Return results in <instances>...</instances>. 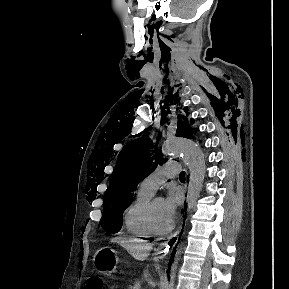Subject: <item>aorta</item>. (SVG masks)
Here are the masks:
<instances>
[{"instance_id": "1", "label": "aorta", "mask_w": 289, "mask_h": 289, "mask_svg": "<svg viewBox=\"0 0 289 289\" xmlns=\"http://www.w3.org/2000/svg\"><path fill=\"white\" fill-rule=\"evenodd\" d=\"M165 157L179 156L189 168V184L187 192V206L188 210L195 209L197 200L203 187V182L206 173V163L202 150L193 141L180 137L167 138L162 149ZM182 248H178L171 267L170 281L166 289L174 288V280L176 277V270L181 254Z\"/></svg>"}]
</instances>
